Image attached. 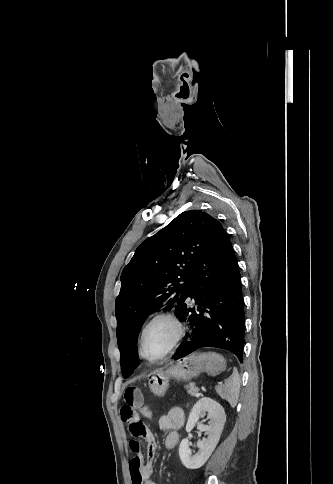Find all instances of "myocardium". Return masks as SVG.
<instances>
[{"label": "myocardium", "mask_w": 333, "mask_h": 484, "mask_svg": "<svg viewBox=\"0 0 333 484\" xmlns=\"http://www.w3.org/2000/svg\"><path fill=\"white\" fill-rule=\"evenodd\" d=\"M158 321H168L170 322L175 328V335L172 338L171 342L167 346V348L157 357H150L144 352V338L146 335L147 330L156 322ZM186 333V327L184 322L179 318L176 314L172 312H161L153 316L142 328L139 342H138V351L140 356L149 361V362H159L165 359L168 355H170L181 343Z\"/></svg>", "instance_id": "1"}]
</instances>
